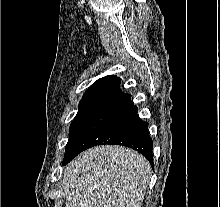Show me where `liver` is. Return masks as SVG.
<instances>
[{
  "instance_id": "1",
  "label": "liver",
  "mask_w": 220,
  "mask_h": 207,
  "mask_svg": "<svg viewBox=\"0 0 220 207\" xmlns=\"http://www.w3.org/2000/svg\"><path fill=\"white\" fill-rule=\"evenodd\" d=\"M150 176V164L138 152L122 146H96L64 170L66 207H141Z\"/></svg>"
}]
</instances>
